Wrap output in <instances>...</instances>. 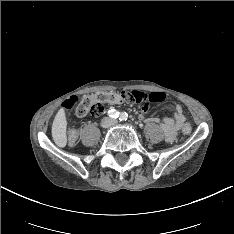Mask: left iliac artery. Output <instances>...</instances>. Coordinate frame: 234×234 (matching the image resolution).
<instances>
[{"label":"left iliac artery","instance_id":"obj_1","mask_svg":"<svg viewBox=\"0 0 234 234\" xmlns=\"http://www.w3.org/2000/svg\"><path fill=\"white\" fill-rule=\"evenodd\" d=\"M127 117H128L127 113H126V112H122V113L120 114L119 120H120V121H126V120H127Z\"/></svg>","mask_w":234,"mask_h":234}]
</instances>
